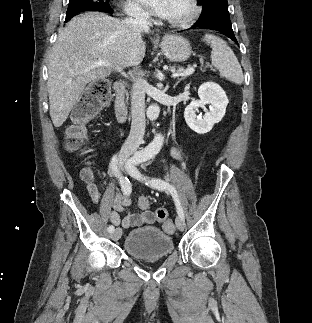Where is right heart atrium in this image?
<instances>
[{"label":"right heart atrium","instance_id":"1","mask_svg":"<svg viewBox=\"0 0 312 323\" xmlns=\"http://www.w3.org/2000/svg\"><path fill=\"white\" fill-rule=\"evenodd\" d=\"M111 5L116 9H121L122 13H129L130 17H151V10H141L140 6H131L129 2L123 0H110Z\"/></svg>","mask_w":312,"mask_h":323}]
</instances>
